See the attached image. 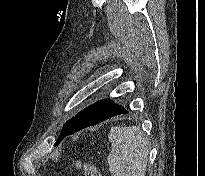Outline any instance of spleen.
Returning <instances> with one entry per match:
<instances>
[{"label":"spleen","mask_w":205,"mask_h":176,"mask_svg":"<svg viewBox=\"0 0 205 176\" xmlns=\"http://www.w3.org/2000/svg\"><path fill=\"white\" fill-rule=\"evenodd\" d=\"M112 151L108 155L112 176H145L149 148L139 127H111L108 135Z\"/></svg>","instance_id":"obj_1"}]
</instances>
